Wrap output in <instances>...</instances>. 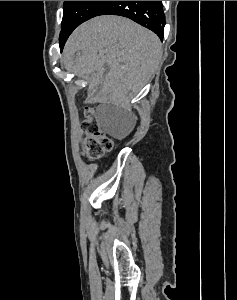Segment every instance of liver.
Instances as JSON below:
<instances>
[{
  "label": "liver",
  "instance_id": "obj_1",
  "mask_svg": "<svg viewBox=\"0 0 237 300\" xmlns=\"http://www.w3.org/2000/svg\"><path fill=\"white\" fill-rule=\"evenodd\" d=\"M163 51L152 31L125 17L102 15L70 35L63 51L65 69L93 75L91 87L102 99L130 103L154 75Z\"/></svg>",
  "mask_w": 237,
  "mask_h": 300
}]
</instances>
